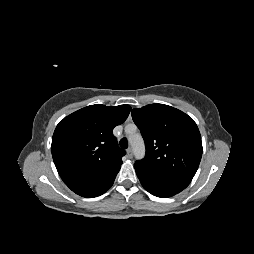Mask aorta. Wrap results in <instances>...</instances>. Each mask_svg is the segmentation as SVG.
Segmentation results:
<instances>
[{
    "instance_id": "obj_1",
    "label": "aorta",
    "mask_w": 254,
    "mask_h": 254,
    "mask_svg": "<svg viewBox=\"0 0 254 254\" xmlns=\"http://www.w3.org/2000/svg\"><path fill=\"white\" fill-rule=\"evenodd\" d=\"M129 142L133 147L135 158L142 159L145 155V147L141 135L138 133L130 134Z\"/></svg>"
}]
</instances>
